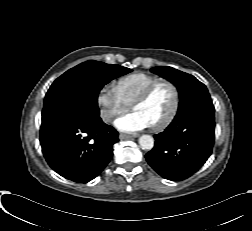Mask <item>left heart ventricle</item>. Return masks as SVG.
Wrapping results in <instances>:
<instances>
[{"label":"left heart ventricle","mask_w":252,"mask_h":231,"mask_svg":"<svg viewBox=\"0 0 252 231\" xmlns=\"http://www.w3.org/2000/svg\"><path fill=\"white\" fill-rule=\"evenodd\" d=\"M173 104V91L167 83L158 84L150 97L134 107V111L148 122L149 126L158 124L169 113Z\"/></svg>","instance_id":"b2bd125f"}]
</instances>
